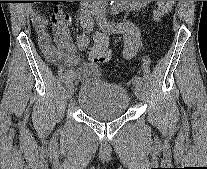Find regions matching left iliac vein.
Returning <instances> with one entry per match:
<instances>
[{
  "mask_svg": "<svg viewBox=\"0 0 207 169\" xmlns=\"http://www.w3.org/2000/svg\"><path fill=\"white\" fill-rule=\"evenodd\" d=\"M134 94L137 98H141L142 96V88L141 85H135L134 86Z\"/></svg>",
  "mask_w": 207,
  "mask_h": 169,
  "instance_id": "4c4485c4",
  "label": "left iliac vein"
}]
</instances>
